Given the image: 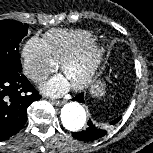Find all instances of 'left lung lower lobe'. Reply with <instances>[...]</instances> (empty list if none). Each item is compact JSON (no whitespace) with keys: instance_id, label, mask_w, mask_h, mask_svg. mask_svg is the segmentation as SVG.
<instances>
[{"instance_id":"1","label":"left lung lower lobe","mask_w":153,"mask_h":153,"mask_svg":"<svg viewBox=\"0 0 153 153\" xmlns=\"http://www.w3.org/2000/svg\"><path fill=\"white\" fill-rule=\"evenodd\" d=\"M73 100L78 101L80 103H84L83 94L81 93L77 95L75 98H73ZM120 119L121 116L111 121L110 124L115 125ZM87 125L88 127L85 130L81 132H73L72 136L80 141H93L107 134L106 130L99 128L91 120L88 121Z\"/></svg>"}]
</instances>
